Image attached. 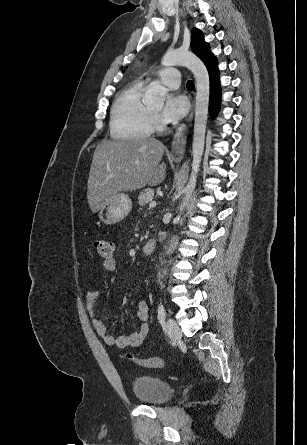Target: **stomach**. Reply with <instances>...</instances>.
I'll return each mask as SVG.
<instances>
[{"mask_svg": "<svg viewBox=\"0 0 307 445\" xmlns=\"http://www.w3.org/2000/svg\"><path fill=\"white\" fill-rule=\"evenodd\" d=\"M132 208V200L129 194L117 192L111 198H107L104 206L98 212L99 220L105 225H115L123 220Z\"/></svg>", "mask_w": 307, "mask_h": 445, "instance_id": "obj_1", "label": "stomach"}]
</instances>
